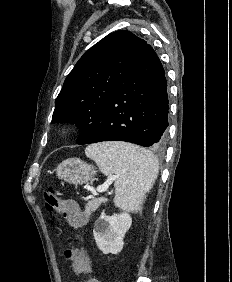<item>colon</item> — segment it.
<instances>
[{"label": "colon", "mask_w": 232, "mask_h": 282, "mask_svg": "<svg viewBox=\"0 0 232 282\" xmlns=\"http://www.w3.org/2000/svg\"><path fill=\"white\" fill-rule=\"evenodd\" d=\"M44 202L51 212L61 214L75 229L82 227L86 223V216L79 210L77 203L74 200H64L59 196V193L53 188L48 187L44 191ZM66 261L72 264L75 271L78 273H87L89 270L88 259L85 253L79 249H66L64 252ZM86 282H100L97 279L91 278Z\"/></svg>", "instance_id": "5ec220e1"}]
</instances>
